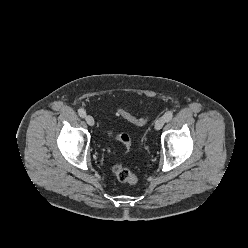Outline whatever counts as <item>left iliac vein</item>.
Segmentation results:
<instances>
[{
    "label": "left iliac vein",
    "mask_w": 248,
    "mask_h": 248,
    "mask_svg": "<svg viewBox=\"0 0 248 248\" xmlns=\"http://www.w3.org/2000/svg\"><path fill=\"white\" fill-rule=\"evenodd\" d=\"M165 122H166L165 117L158 118L154 125L155 129L160 130L164 126Z\"/></svg>",
    "instance_id": "1"
}]
</instances>
